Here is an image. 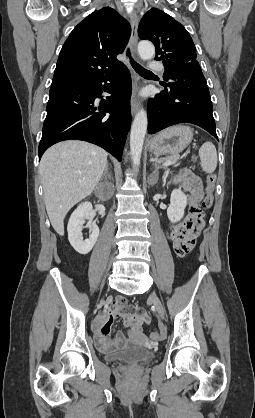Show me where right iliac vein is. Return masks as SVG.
Returning <instances> with one entry per match:
<instances>
[{"mask_svg":"<svg viewBox=\"0 0 255 418\" xmlns=\"http://www.w3.org/2000/svg\"><path fill=\"white\" fill-rule=\"evenodd\" d=\"M102 305H103V301H101V303H100L99 307H101Z\"/></svg>","mask_w":255,"mask_h":418,"instance_id":"1","label":"right iliac vein"}]
</instances>
